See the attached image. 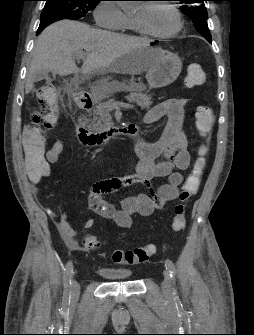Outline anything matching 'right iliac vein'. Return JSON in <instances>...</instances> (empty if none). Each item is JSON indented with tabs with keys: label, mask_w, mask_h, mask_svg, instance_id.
I'll return each instance as SVG.
<instances>
[{
	"label": "right iliac vein",
	"mask_w": 254,
	"mask_h": 335,
	"mask_svg": "<svg viewBox=\"0 0 254 335\" xmlns=\"http://www.w3.org/2000/svg\"><path fill=\"white\" fill-rule=\"evenodd\" d=\"M80 293V286L76 280L72 281L71 294L73 297H77Z\"/></svg>",
	"instance_id": "obj_1"
}]
</instances>
